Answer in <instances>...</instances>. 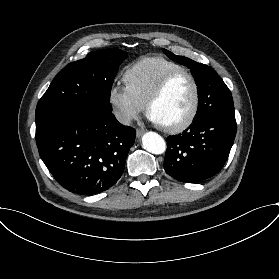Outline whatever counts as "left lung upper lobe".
I'll list each match as a JSON object with an SVG mask.
<instances>
[{
  "mask_svg": "<svg viewBox=\"0 0 279 279\" xmlns=\"http://www.w3.org/2000/svg\"><path fill=\"white\" fill-rule=\"evenodd\" d=\"M173 61L190 68L198 89V111L194 120L205 115L235 117L231 92L218 74L209 66L197 63L189 58L174 55L163 49Z\"/></svg>",
  "mask_w": 279,
  "mask_h": 279,
  "instance_id": "left-lung-upper-lobe-1",
  "label": "left lung upper lobe"
}]
</instances>
